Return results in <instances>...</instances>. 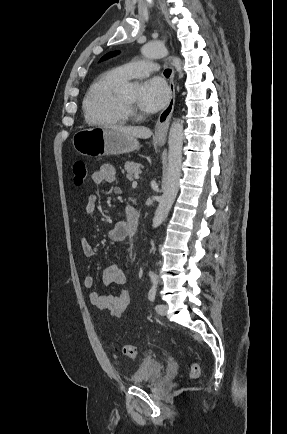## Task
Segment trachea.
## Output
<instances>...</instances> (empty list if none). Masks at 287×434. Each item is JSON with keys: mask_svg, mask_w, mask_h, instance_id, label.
<instances>
[{"mask_svg": "<svg viewBox=\"0 0 287 434\" xmlns=\"http://www.w3.org/2000/svg\"><path fill=\"white\" fill-rule=\"evenodd\" d=\"M164 75H165L166 77H169V76L171 75V70H170V69H166V70L164 71Z\"/></svg>", "mask_w": 287, "mask_h": 434, "instance_id": "trachea-1", "label": "trachea"}]
</instances>
